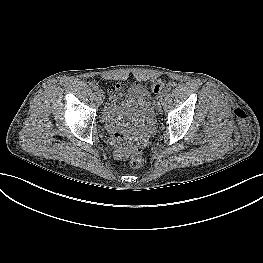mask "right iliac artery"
I'll return each instance as SVG.
<instances>
[{"mask_svg":"<svg viewBox=\"0 0 263 263\" xmlns=\"http://www.w3.org/2000/svg\"><path fill=\"white\" fill-rule=\"evenodd\" d=\"M93 90H94L96 93H99V92H100V89H99V87H97V86H94V87H93Z\"/></svg>","mask_w":263,"mask_h":263,"instance_id":"right-iliac-artery-1","label":"right iliac artery"}]
</instances>
